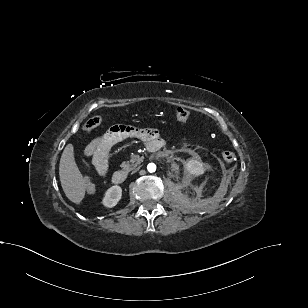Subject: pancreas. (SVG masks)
Returning <instances> with one entry per match:
<instances>
[{
  "label": "pancreas",
  "mask_w": 308,
  "mask_h": 308,
  "mask_svg": "<svg viewBox=\"0 0 308 308\" xmlns=\"http://www.w3.org/2000/svg\"><path fill=\"white\" fill-rule=\"evenodd\" d=\"M141 163L140 158H133L128 162H123L121 164V168L127 172L131 171L132 169L136 168Z\"/></svg>",
  "instance_id": "1"
}]
</instances>
